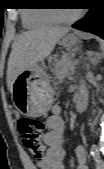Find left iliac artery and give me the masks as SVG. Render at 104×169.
<instances>
[{"label":"left iliac artery","mask_w":104,"mask_h":169,"mask_svg":"<svg viewBox=\"0 0 104 169\" xmlns=\"http://www.w3.org/2000/svg\"><path fill=\"white\" fill-rule=\"evenodd\" d=\"M91 155H92V157L94 158L95 161H98L99 158H100V153H99L98 147L95 144H93L91 146Z\"/></svg>","instance_id":"obj_1"}]
</instances>
